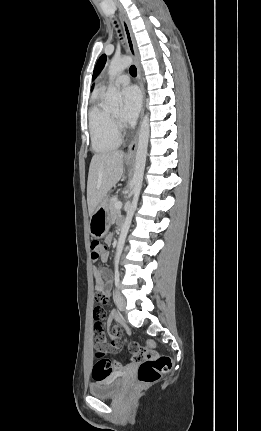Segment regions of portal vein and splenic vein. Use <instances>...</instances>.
Listing matches in <instances>:
<instances>
[{
	"mask_svg": "<svg viewBox=\"0 0 261 431\" xmlns=\"http://www.w3.org/2000/svg\"><path fill=\"white\" fill-rule=\"evenodd\" d=\"M115 207H116L117 209H120V208L122 207V203H121V202H117V203L115 204Z\"/></svg>",
	"mask_w": 261,
	"mask_h": 431,
	"instance_id": "1",
	"label": "portal vein and splenic vein"
}]
</instances>
